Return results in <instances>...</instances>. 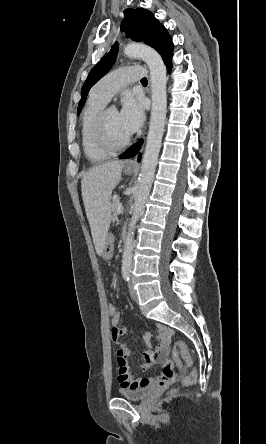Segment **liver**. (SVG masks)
<instances>
[{
	"instance_id": "liver-1",
	"label": "liver",
	"mask_w": 266,
	"mask_h": 444,
	"mask_svg": "<svg viewBox=\"0 0 266 444\" xmlns=\"http://www.w3.org/2000/svg\"><path fill=\"white\" fill-rule=\"evenodd\" d=\"M123 161H111L93 167L82 178V198L99 256L108 235L111 222V195L121 180Z\"/></svg>"
}]
</instances>
